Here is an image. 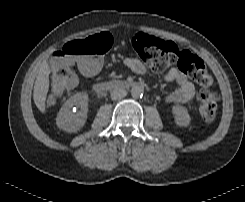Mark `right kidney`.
<instances>
[{
    "mask_svg": "<svg viewBox=\"0 0 245 202\" xmlns=\"http://www.w3.org/2000/svg\"><path fill=\"white\" fill-rule=\"evenodd\" d=\"M88 113V94L84 92L71 96L61 107L56 124L68 133L79 131L86 123Z\"/></svg>",
    "mask_w": 245,
    "mask_h": 202,
    "instance_id": "right-kidney-1",
    "label": "right kidney"
}]
</instances>
